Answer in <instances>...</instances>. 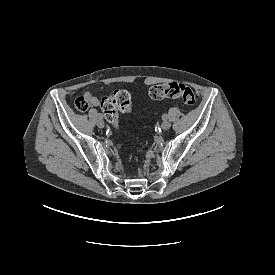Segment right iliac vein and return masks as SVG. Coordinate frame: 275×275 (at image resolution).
<instances>
[{
  "label": "right iliac vein",
  "mask_w": 275,
  "mask_h": 275,
  "mask_svg": "<svg viewBox=\"0 0 275 275\" xmlns=\"http://www.w3.org/2000/svg\"><path fill=\"white\" fill-rule=\"evenodd\" d=\"M97 126H98L99 128H103V127H104V121H103L102 119H98V121H97Z\"/></svg>",
  "instance_id": "obj_1"
}]
</instances>
